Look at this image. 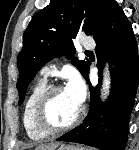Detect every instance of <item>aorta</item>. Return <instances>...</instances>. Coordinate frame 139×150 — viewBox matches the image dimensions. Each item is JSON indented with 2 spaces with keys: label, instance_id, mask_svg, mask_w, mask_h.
<instances>
[{
  "label": "aorta",
  "instance_id": "aorta-1",
  "mask_svg": "<svg viewBox=\"0 0 139 150\" xmlns=\"http://www.w3.org/2000/svg\"><path fill=\"white\" fill-rule=\"evenodd\" d=\"M110 90V75L108 68H105L104 77H103V86H102V95L106 97Z\"/></svg>",
  "mask_w": 139,
  "mask_h": 150
}]
</instances>
